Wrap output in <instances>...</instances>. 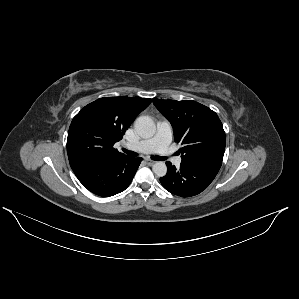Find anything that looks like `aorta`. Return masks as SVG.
Wrapping results in <instances>:
<instances>
[{"label": "aorta", "instance_id": "obj_1", "mask_svg": "<svg viewBox=\"0 0 299 299\" xmlns=\"http://www.w3.org/2000/svg\"><path fill=\"white\" fill-rule=\"evenodd\" d=\"M137 134L144 138H151L156 132L155 122L148 116H140L136 119L134 124ZM153 172L158 177H163L167 173V166L164 162H156L152 167Z\"/></svg>", "mask_w": 299, "mask_h": 299}]
</instances>
